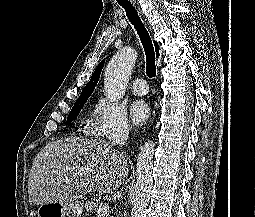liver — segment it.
<instances>
[{"instance_id": "obj_1", "label": "liver", "mask_w": 255, "mask_h": 217, "mask_svg": "<svg viewBox=\"0 0 255 217\" xmlns=\"http://www.w3.org/2000/svg\"><path fill=\"white\" fill-rule=\"evenodd\" d=\"M128 160L100 138L73 137L47 144L35 157L28 180L29 202L42 205L79 199L95 188L117 190Z\"/></svg>"}]
</instances>
